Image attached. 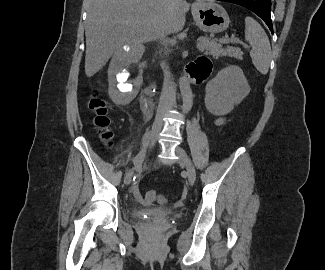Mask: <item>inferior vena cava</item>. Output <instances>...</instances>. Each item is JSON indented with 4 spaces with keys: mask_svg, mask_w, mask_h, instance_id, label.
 Masks as SVG:
<instances>
[{
    "mask_svg": "<svg viewBox=\"0 0 325 270\" xmlns=\"http://www.w3.org/2000/svg\"><path fill=\"white\" fill-rule=\"evenodd\" d=\"M173 0H166L167 3L172 2ZM165 38L166 34L164 31L160 34V41L165 44ZM164 69V84L163 89L160 97V102L157 109L156 114V121L160 122L163 118V116L170 111L173 106L175 105V99H176V88L175 84L172 80V75L168 69V66L165 65L163 62Z\"/></svg>",
    "mask_w": 325,
    "mask_h": 270,
    "instance_id": "602c4592",
    "label": "inferior vena cava"
}]
</instances>
